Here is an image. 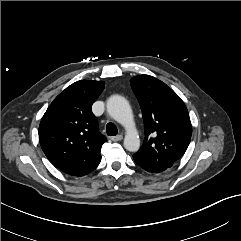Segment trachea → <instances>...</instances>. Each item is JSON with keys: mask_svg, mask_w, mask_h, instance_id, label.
Returning a JSON list of instances; mask_svg holds the SVG:
<instances>
[{"mask_svg": "<svg viewBox=\"0 0 241 241\" xmlns=\"http://www.w3.org/2000/svg\"><path fill=\"white\" fill-rule=\"evenodd\" d=\"M106 132L109 136H116L118 133L117 127L113 123H108L106 126Z\"/></svg>", "mask_w": 241, "mask_h": 241, "instance_id": "1", "label": "trachea"}]
</instances>
